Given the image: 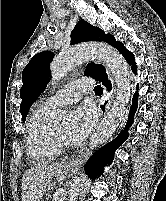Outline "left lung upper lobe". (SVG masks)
<instances>
[{"label": "left lung upper lobe", "instance_id": "1", "mask_svg": "<svg viewBox=\"0 0 166 201\" xmlns=\"http://www.w3.org/2000/svg\"><path fill=\"white\" fill-rule=\"evenodd\" d=\"M72 44L85 41H101L106 42L117 48L120 52L125 48L122 43L116 41L111 34H105L100 28L92 26L84 20H80L71 33ZM54 57V53L43 51L36 54L24 68L22 72L23 86L20 90L22 102L20 104V112L23 121L26 115L37 99V97L46 88L50 76V62ZM86 75L94 78H100L105 74V68L102 65L89 63L86 69Z\"/></svg>", "mask_w": 166, "mask_h": 201}]
</instances>
